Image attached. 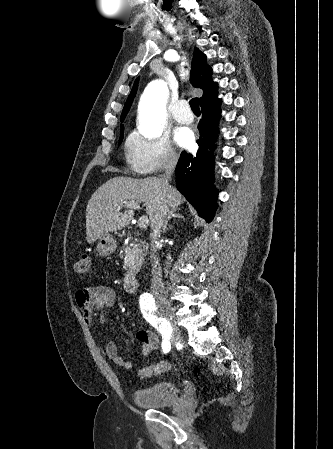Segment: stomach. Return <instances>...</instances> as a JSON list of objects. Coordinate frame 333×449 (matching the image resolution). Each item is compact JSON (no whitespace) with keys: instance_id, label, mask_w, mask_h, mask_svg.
Instances as JSON below:
<instances>
[{"instance_id":"obj_1","label":"stomach","mask_w":333,"mask_h":449,"mask_svg":"<svg viewBox=\"0 0 333 449\" xmlns=\"http://www.w3.org/2000/svg\"><path fill=\"white\" fill-rule=\"evenodd\" d=\"M116 249V240L109 234L98 239L97 251L101 256H109Z\"/></svg>"}]
</instances>
